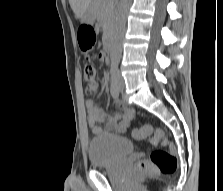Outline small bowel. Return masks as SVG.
I'll list each match as a JSON object with an SVG mask.
<instances>
[{"label": "small bowel", "instance_id": "small-bowel-1", "mask_svg": "<svg viewBox=\"0 0 223 191\" xmlns=\"http://www.w3.org/2000/svg\"><path fill=\"white\" fill-rule=\"evenodd\" d=\"M98 58L104 60L105 55L99 53ZM86 91L89 95H95L100 91V88L97 84H91L87 86ZM117 106L121 113L108 116L96 105L93 99L86 100L85 109L88 116V125L93 134L99 135L103 133L99 123H103L105 131L110 133H124L128 129L134 117V109L122 103H117Z\"/></svg>", "mask_w": 223, "mask_h": 191}]
</instances>
